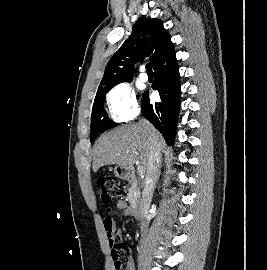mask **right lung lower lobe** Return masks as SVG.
<instances>
[{
    "instance_id": "98d812e1",
    "label": "right lung lower lobe",
    "mask_w": 267,
    "mask_h": 270,
    "mask_svg": "<svg viewBox=\"0 0 267 270\" xmlns=\"http://www.w3.org/2000/svg\"><path fill=\"white\" fill-rule=\"evenodd\" d=\"M154 84L161 102L151 104L148 91L143 94L141 111L143 116L161 132L168 145H173L180 107V75L174 46L159 59L154 67Z\"/></svg>"
}]
</instances>
